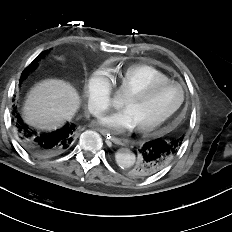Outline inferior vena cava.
I'll use <instances>...</instances> for the list:
<instances>
[{
	"label": "inferior vena cava",
	"instance_id": "1",
	"mask_svg": "<svg viewBox=\"0 0 232 232\" xmlns=\"http://www.w3.org/2000/svg\"><path fill=\"white\" fill-rule=\"evenodd\" d=\"M92 113L94 115H98L100 113V110L98 108H94V109H92Z\"/></svg>",
	"mask_w": 232,
	"mask_h": 232
}]
</instances>
